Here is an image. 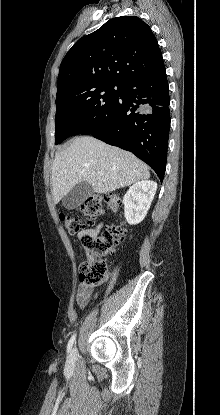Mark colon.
<instances>
[{
	"label": "colon",
	"instance_id": "1",
	"mask_svg": "<svg viewBox=\"0 0 220 415\" xmlns=\"http://www.w3.org/2000/svg\"><path fill=\"white\" fill-rule=\"evenodd\" d=\"M122 197L119 194L106 193L91 196L81 205V211L87 218V225L92 226L106 211L121 212ZM60 220L70 234L79 233L85 224L77 217L60 213ZM126 230L121 225H110L104 231L85 235L81 239L87 258L80 265V281L87 286H100L107 278L108 265L106 257L113 254L116 246L123 240Z\"/></svg>",
	"mask_w": 220,
	"mask_h": 415
}]
</instances>
